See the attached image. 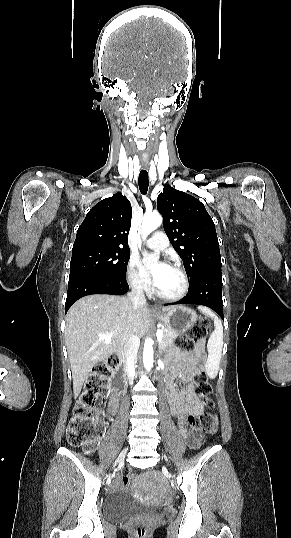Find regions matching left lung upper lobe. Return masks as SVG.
Instances as JSON below:
<instances>
[{"label": "left lung upper lobe", "instance_id": "1", "mask_svg": "<svg viewBox=\"0 0 291 538\" xmlns=\"http://www.w3.org/2000/svg\"><path fill=\"white\" fill-rule=\"evenodd\" d=\"M164 230L193 281L204 272L221 269L215 224L195 197L165 185L157 198Z\"/></svg>", "mask_w": 291, "mask_h": 538}]
</instances>
